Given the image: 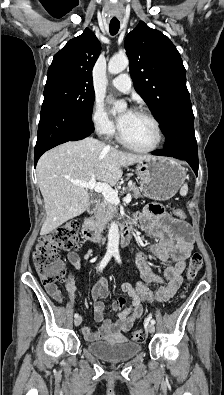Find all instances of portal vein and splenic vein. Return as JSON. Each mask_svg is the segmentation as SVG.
<instances>
[{
	"mask_svg": "<svg viewBox=\"0 0 224 395\" xmlns=\"http://www.w3.org/2000/svg\"><path fill=\"white\" fill-rule=\"evenodd\" d=\"M72 184L83 187L89 190H93L97 193H102L104 198L114 204V205H119L120 204V199L118 197V193L108 184L106 183H100L97 182L95 179H91L88 182H83V181H71ZM125 203H129L131 201V195L127 194L126 197L123 199Z\"/></svg>",
	"mask_w": 224,
	"mask_h": 395,
	"instance_id": "1",
	"label": "portal vein and splenic vein"
}]
</instances>
